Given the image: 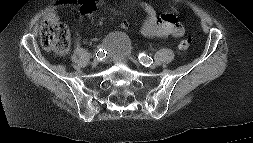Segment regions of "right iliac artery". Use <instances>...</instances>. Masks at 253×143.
Segmentation results:
<instances>
[{
	"instance_id": "right-iliac-artery-1",
	"label": "right iliac artery",
	"mask_w": 253,
	"mask_h": 143,
	"mask_svg": "<svg viewBox=\"0 0 253 143\" xmlns=\"http://www.w3.org/2000/svg\"><path fill=\"white\" fill-rule=\"evenodd\" d=\"M101 52H103V49H99L98 51H97V53H96V57L97 58H99V57H101L102 56V53ZM98 54V55H97Z\"/></svg>"
}]
</instances>
